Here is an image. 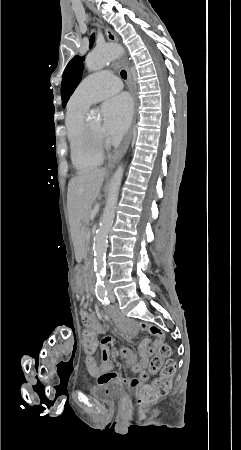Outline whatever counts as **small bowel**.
<instances>
[{"label": "small bowel", "mask_w": 241, "mask_h": 450, "mask_svg": "<svg viewBox=\"0 0 241 450\" xmlns=\"http://www.w3.org/2000/svg\"><path fill=\"white\" fill-rule=\"evenodd\" d=\"M81 315L86 326L83 333H95L101 331V325L98 320L92 316L90 309H83ZM120 331L128 338L136 336L140 331H147L156 337L143 339L138 346V354L130 347H120L116 353L120 355L131 370L137 374L136 377H125L114 371V363L110 353V347L113 345L111 337L106 336L101 343V363H97L95 356L85 358V365L88 373L96 379L98 386L109 389L112 385H123L128 388H137L143 382L150 378L152 373L148 370V365L152 357L155 356L157 349L163 344L164 331L156 326L143 321L127 320L120 326ZM85 357V356H84Z\"/></svg>", "instance_id": "1"}]
</instances>
